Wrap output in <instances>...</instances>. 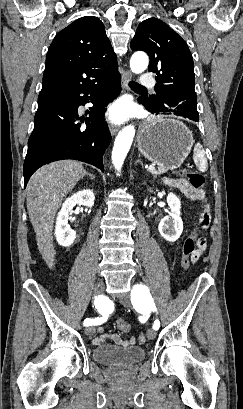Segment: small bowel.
I'll return each mask as SVG.
<instances>
[{"label": "small bowel", "mask_w": 243, "mask_h": 409, "mask_svg": "<svg viewBox=\"0 0 243 409\" xmlns=\"http://www.w3.org/2000/svg\"><path fill=\"white\" fill-rule=\"evenodd\" d=\"M164 183L178 189L180 192H182L187 198L192 199V200H201L203 199V195L200 191L194 189L186 180L183 179H166L164 180ZM209 205L206 204L204 207V210L202 212V217H201V228L207 229L209 226L210 222V213H209ZM207 247L206 244V239L204 237H198L197 242H196V249L192 253L191 259L192 262H196L199 260V258L202 256V254L205 252ZM112 312V305L110 303L106 304V307L103 311L102 314V320L105 322L109 315ZM97 332L100 334L98 337L93 339V344L94 345H100L106 340L110 339L113 342H115L118 345L125 346V347H132L136 345L139 341L135 337H130L127 339L121 338L117 334H109L104 332L103 327H98Z\"/></svg>", "instance_id": "c3829d8e"}]
</instances>
